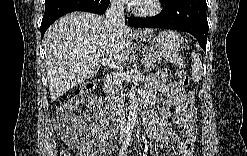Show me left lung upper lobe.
<instances>
[{
	"instance_id": "1",
	"label": "left lung upper lobe",
	"mask_w": 247,
	"mask_h": 156,
	"mask_svg": "<svg viewBox=\"0 0 247 156\" xmlns=\"http://www.w3.org/2000/svg\"><path fill=\"white\" fill-rule=\"evenodd\" d=\"M168 1H170V0H164L163 2H168Z\"/></svg>"
}]
</instances>
